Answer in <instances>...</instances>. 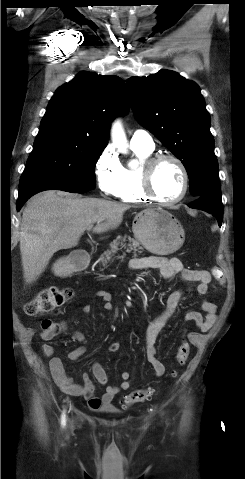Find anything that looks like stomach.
Segmentation results:
<instances>
[{
    "label": "stomach",
    "mask_w": 245,
    "mask_h": 479,
    "mask_svg": "<svg viewBox=\"0 0 245 479\" xmlns=\"http://www.w3.org/2000/svg\"><path fill=\"white\" fill-rule=\"evenodd\" d=\"M136 239L151 253L167 255L177 251L184 243L185 232L180 222L163 209H144L139 212L132 225ZM55 275L65 277L72 267L67 258L53 265Z\"/></svg>",
    "instance_id": "1"
}]
</instances>
